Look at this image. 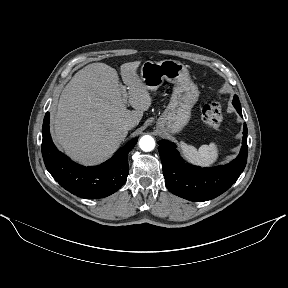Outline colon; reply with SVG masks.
Segmentation results:
<instances>
[{
	"mask_svg": "<svg viewBox=\"0 0 288 288\" xmlns=\"http://www.w3.org/2000/svg\"><path fill=\"white\" fill-rule=\"evenodd\" d=\"M204 124L210 129H218L223 120L222 106L218 101H212L203 106L201 112Z\"/></svg>",
	"mask_w": 288,
	"mask_h": 288,
	"instance_id": "5ec220e1",
	"label": "colon"
}]
</instances>
